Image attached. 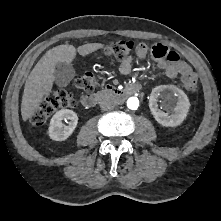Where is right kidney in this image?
<instances>
[{
    "instance_id": "ca27d5eb",
    "label": "right kidney",
    "mask_w": 221,
    "mask_h": 221,
    "mask_svg": "<svg viewBox=\"0 0 221 221\" xmlns=\"http://www.w3.org/2000/svg\"><path fill=\"white\" fill-rule=\"evenodd\" d=\"M63 120L68 121V125H64ZM77 123L78 116L73 110H59L50 120L49 137L55 141L66 140L74 132Z\"/></svg>"
}]
</instances>
